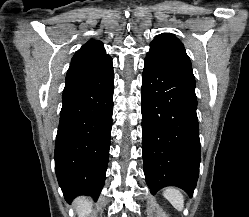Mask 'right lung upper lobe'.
I'll return each instance as SVG.
<instances>
[{
  "mask_svg": "<svg viewBox=\"0 0 249 217\" xmlns=\"http://www.w3.org/2000/svg\"><path fill=\"white\" fill-rule=\"evenodd\" d=\"M106 54L103 43L98 40H89L73 56L71 63L88 60Z\"/></svg>",
  "mask_w": 249,
  "mask_h": 217,
  "instance_id": "obj_1",
  "label": "right lung upper lobe"
}]
</instances>
